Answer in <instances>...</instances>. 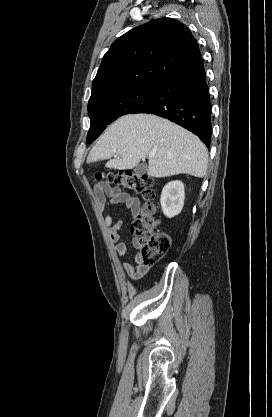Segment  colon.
Segmentation results:
<instances>
[{"label":"colon","mask_w":272,"mask_h":417,"mask_svg":"<svg viewBox=\"0 0 272 417\" xmlns=\"http://www.w3.org/2000/svg\"><path fill=\"white\" fill-rule=\"evenodd\" d=\"M96 178L117 187L135 191L146 200L140 215L131 225V232L138 239L141 263L146 266L154 265L169 250L171 239L168 234L154 230L158 224V218L157 207L152 202L155 197L153 180L146 175L128 170L99 173Z\"/></svg>","instance_id":"colon-1"}]
</instances>
